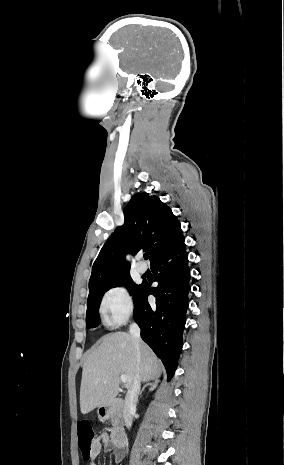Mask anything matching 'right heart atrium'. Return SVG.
<instances>
[{
    "mask_svg": "<svg viewBox=\"0 0 284 465\" xmlns=\"http://www.w3.org/2000/svg\"><path fill=\"white\" fill-rule=\"evenodd\" d=\"M99 309L110 324H125L135 314V305L130 292L124 286H115L104 292Z\"/></svg>",
    "mask_w": 284,
    "mask_h": 465,
    "instance_id": "d8ad5b80",
    "label": "right heart atrium"
}]
</instances>
